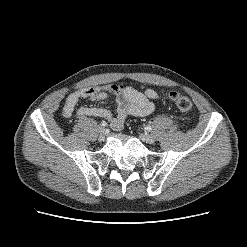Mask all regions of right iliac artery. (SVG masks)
Listing matches in <instances>:
<instances>
[{
    "label": "right iliac artery",
    "instance_id": "obj_1",
    "mask_svg": "<svg viewBox=\"0 0 247 247\" xmlns=\"http://www.w3.org/2000/svg\"><path fill=\"white\" fill-rule=\"evenodd\" d=\"M101 125H102V126H106V122H105V121H102V122H101Z\"/></svg>",
    "mask_w": 247,
    "mask_h": 247
}]
</instances>
